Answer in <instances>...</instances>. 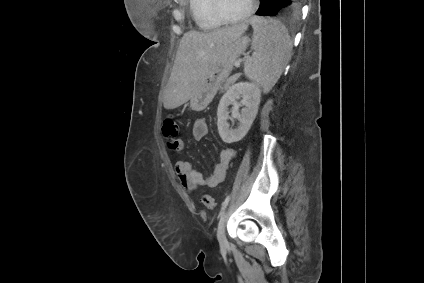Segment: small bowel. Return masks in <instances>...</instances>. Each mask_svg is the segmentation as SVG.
<instances>
[{
  "label": "small bowel",
  "mask_w": 424,
  "mask_h": 283,
  "mask_svg": "<svg viewBox=\"0 0 424 283\" xmlns=\"http://www.w3.org/2000/svg\"><path fill=\"white\" fill-rule=\"evenodd\" d=\"M192 134L196 140H200L208 134V125L204 118L195 120L192 126ZM235 155L236 152L232 148L222 149L219 154V161L215 165L213 172L207 177H204L200 171L193 168L189 161L184 160H180L175 164V174L181 185L190 192L195 191L200 186L213 188L225 180L227 170Z\"/></svg>",
  "instance_id": "small-bowel-1"
}]
</instances>
